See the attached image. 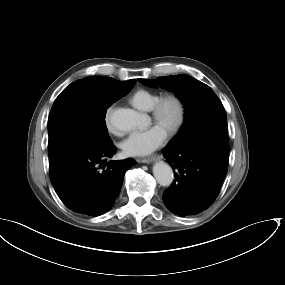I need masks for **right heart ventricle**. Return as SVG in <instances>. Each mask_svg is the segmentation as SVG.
<instances>
[{
    "label": "right heart ventricle",
    "mask_w": 285,
    "mask_h": 285,
    "mask_svg": "<svg viewBox=\"0 0 285 285\" xmlns=\"http://www.w3.org/2000/svg\"><path fill=\"white\" fill-rule=\"evenodd\" d=\"M159 98L160 95L156 92L138 89L130 96L129 101L136 109L149 111Z\"/></svg>",
    "instance_id": "obj_1"
}]
</instances>
